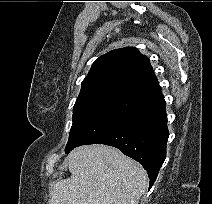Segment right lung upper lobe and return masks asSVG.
Wrapping results in <instances>:
<instances>
[{"label":"right lung upper lobe","instance_id":"1","mask_svg":"<svg viewBox=\"0 0 212 204\" xmlns=\"http://www.w3.org/2000/svg\"><path fill=\"white\" fill-rule=\"evenodd\" d=\"M162 95L150 61L134 47L112 50L99 57L82 82L75 105L117 98L145 105Z\"/></svg>","mask_w":212,"mask_h":204}]
</instances>
